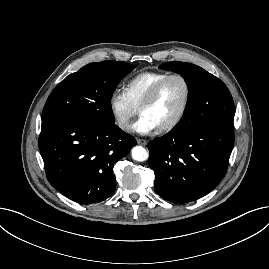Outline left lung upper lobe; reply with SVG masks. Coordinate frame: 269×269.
<instances>
[{"mask_svg": "<svg viewBox=\"0 0 269 269\" xmlns=\"http://www.w3.org/2000/svg\"><path fill=\"white\" fill-rule=\"evenodd\" d=\"M159 68L179 73L190 92L184 116L171 131L189 132L215 121H234L233 99L220 79L185 62H166Z\"/></svg>", "mask_w": 269, "mask_h": 269, "instance_id": "5c2ea615", "label": "left lung upper lobe"}]
</instances>
